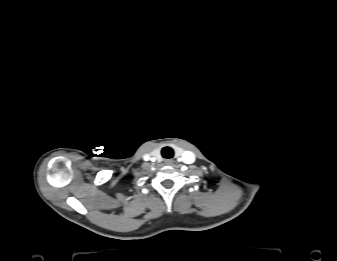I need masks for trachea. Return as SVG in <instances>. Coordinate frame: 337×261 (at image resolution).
Instances as JSON below:
<instances>
[{"instance_id":"obj_1","label":"trachea","mask_w":337,"mask_h":261,"mask_svg":"<svg viewBox=\"0 0 337 261\" xmlns=\"http://www.w3.org/2000/svg\"><path fill=\"white\" fill-rule=\"evenodd\" d=\"M163 158L170 159L174 155V151L171 147H164L161 151Z\"/></svg>"}]
</instances>
